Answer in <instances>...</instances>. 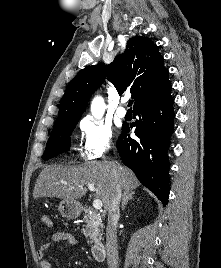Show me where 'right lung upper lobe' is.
Segmentation results:
<instances>
[{"label": "right lung upper lobe", "mask_w": 221, "mask_h": 268, "mask_svg": "<svg viewBox=\"0 0 221 268\" xmlns=\"http://www.w3.org/2000/svg\"><path fill=\"white\" fill-rule=\"evenodd\" d=\"M163 60L151 39L141 36L129 39L125 52L110 65L88 66L70 81L60 102L56 123L80 118L90 96L106 75L119 94L130 91L134 109L165 95L171 91V84Z\"/></svg>", "instance_id": "cb5924a9"}]
</instances>
